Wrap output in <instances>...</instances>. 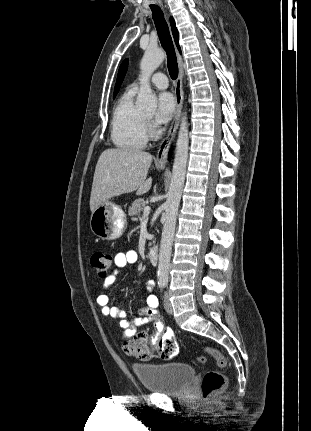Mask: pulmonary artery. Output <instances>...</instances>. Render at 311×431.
Instances as JSON below:
<instances>
[{"mask_svg":"<svg viewBox=\"0 0 311 431\" xmlns=\"http://www.w3.org/2000/svg\"><path fill=\"white\" fill-rule=\"evenodd\" d=\"M151 83L158 89H166L169 85L167 76L162 72H156L151 77ZM138 83H133L130 89L136 91L138 89Z\"/></svg>","mask_w":311,"mask_h":431,"instance_id":"obj_1","label":"pulmonary artery"}]
</instances>
